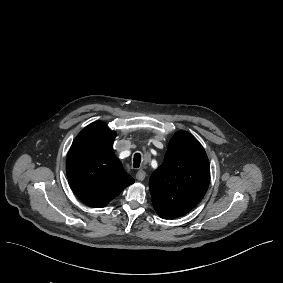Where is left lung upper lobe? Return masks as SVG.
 I'll use <instances>...</instances> for the list:
<instances>
[{
	"label": "left lung upper lobe",
	"mask_w": 283,
	"mask_h": 283,
	"mask_svg": "<svg viewBox=\"0 0 283 283\" xmlns=\"http://www.w3.org/2000/svg\"><path fill=\"white\" fill-rule=\"evenodd\" d=\"M210 166L205 150L186 131L174 134L162 165L151 175L149 188L158 214L184 215L205 195Z\"/></svg>",
	"instance_id": "obj_1"
}]
</instances>
